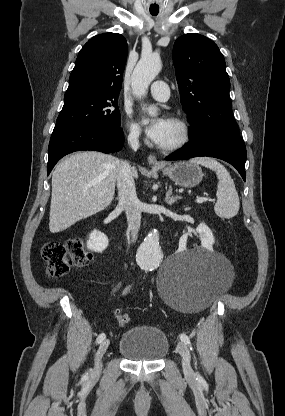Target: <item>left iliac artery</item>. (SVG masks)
<instances>
[{
  "label": "left iliac artery",
  "instance_id": "1",
  "mask_svg": "<svg viewBox=\"0 0 285 416\" xmlns=\"http://www.w3.org/2000/svg\"><path fill=\"white\" fill-rule=\"evenodd\" d=\"M180 339H181V341H183L185 344H187V345H189L190 346V350H192V346H191V342H190V339H189V337L186 335V334H181L180 335ZM203 378H202V376L198 373L197 374V380H202Z\"/></svg>",
  "mask_w": 285,
  "mask_h": 416
}]
</instances>
